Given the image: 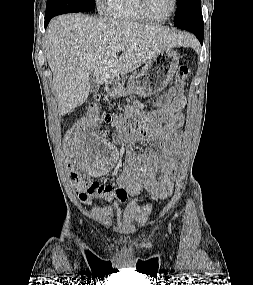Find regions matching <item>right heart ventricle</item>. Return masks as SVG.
I'll return each instance as SVG.
<instances>
[{
  "label": "right heart ventricle",
  "mask_w": 253,
  "mask_h": 285,
  "mask_svg": "<svg viewBox=\"0 0 253 285\" xmlns=\"http://www.w3.org/2000/svg\"><path fill=\"white\" fill-rule=\"evenodd\" d=\"M104 10L110 17L128 22H147L137 0H103Z\"/></svg>",
  "instance_id": "right-heart-ventricle-1"
}]
</instances>
